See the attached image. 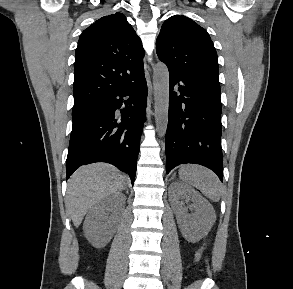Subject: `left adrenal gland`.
I'll list each match as a JSON object with an SVG mask.
<instances>
[{
	"mask_svg": "<svg viewBox=\"0 0 293 289\" xmlns=\"http://www.w3.org/2000/svg\"><path fill=\"white\" fill-rule=\"evenodd\" d=\"M174 177H175V175H173L170 180H172Z\"/></svg>",
	"mask_w": 293,
	"mask_h": 289,
	"instance_id": "left-adrenal-gland-1",
	"label": "left adrenal gland"
}]
</instances>
